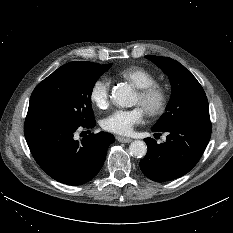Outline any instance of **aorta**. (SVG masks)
<instances>
[{
    "label": "aorta",
    "mask_w": 233,
    "mask_h": 233,
    "mask_svg": "<svg viewBox=\"0 0 233 233\" xmlns=\"http://www.w3.org/2000/svg\"><path fill=\"white\" fill-rule=\"evenodd\" d=\"M112 101L115 105L127 108L135 105V94L132 88L126 84H119L112 90ZM130 154L136 158H142L147 153V145L144 141L135 140L129 146Z\"/></svg>",
    "instance_id": "762f6f07"
}]
</instances>
